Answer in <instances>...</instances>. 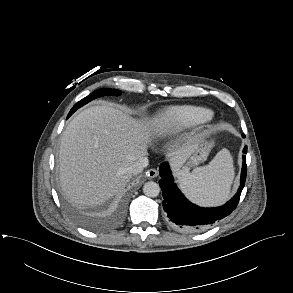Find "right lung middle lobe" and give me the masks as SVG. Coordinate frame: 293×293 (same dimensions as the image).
Listing matches in <instances>:
<instances>
[{"instance_id": "right-lung-middle-lobe-1", "label": "right lung middle lobe", "mask_w": 293, "mask_h": 293, "mask_svg": "<svg viewBox=\"0 0 293 293\" xmlns=\"http://www.w3.org/2000/svg\"><path fill=\"white\" fill-rule=\"evenodd\" d=\"M121 94V91L116 90V89H109V88H101L98 89L96 91H94L93 93H91L90 95H88L87 97L83 98L82 100H80L79 102H77L73 108L71 109V111L68 114V117L73 114L78 108L82 107L83 105L87 104L88 102L96 99L97 97H101V96H109V95H115L118 96Z\"/></svg>"}]
</instances>
